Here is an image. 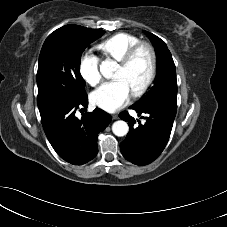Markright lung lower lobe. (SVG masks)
Wrapping results in <instances>:
<instances>
[{"mask_svg":"<svg viewBox=\"0 0 227 227\" xmlns=\"http://www.w3.org/2000/svg\"><path fill=\"white\" fill-rule=\"evenodd\" d=\"M87 106L86 95L77 102L62 103L40 111L50 144L62 159L73 165L85 164L97 155L98 134L111 121L110 115L99 108L84 113Z\"/></svg>","mask_w":227,"mask_h":227,"instance_id":"obj_1","label":"right lung lower lobe"}]
</instances>
